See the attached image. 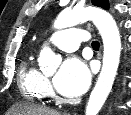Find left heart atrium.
I'll list each match as a JSON object with an SVG mask.
<instances>
[{
    "label": "left heart atrium",
    "mask_w": 131,
    "mask_h": 115,
    "mask_svg": "<svg viewBox=\"0 0 131 115\" xmlns=\"http://www.w3.org/2000/svg\"><path fill=\"white\" fill-rule=\"evenodd\" d=\"M91 74L87 65L77 57H68L54 78L56 90L67 97H76L86 91Z\"/></svg>",
    "instance_id": "1"
}]
</instances>
